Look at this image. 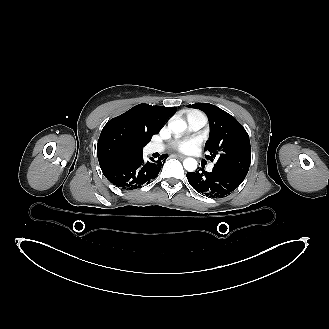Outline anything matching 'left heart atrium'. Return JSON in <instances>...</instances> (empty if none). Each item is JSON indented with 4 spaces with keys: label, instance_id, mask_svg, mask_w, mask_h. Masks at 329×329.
<instances>
[{
    "label": "left heart atrium",
    "instance_id": "39dd6f15",
    "mask_svg": "<svg viewBox=\"0 0 329 329\" xmlns=\"http://www.w3.org/2000/svg\"><path fill=\"white\" fill-rule=\"evenodd\" d=\"M201 144L199 138H191L179 140L174 143V147L180 152H190L196 149Z\"/></svg>",
    "mask_w": 329,
    "mask_h": 329
}]
</instances>
